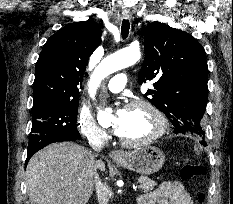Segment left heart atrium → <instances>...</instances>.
<instances>
[{
  "mask_svg": "<svg viewBox=\"0 0 233 204\" xmlns=\"http://www.w3.org/2000/svg\"><path fill=\"white\" fill-rule=\"evenodd\" d=\"M126 110L118 109L115 113L114 123H113V131L116 134H120L124 120H125Z\"/></svg>",
  "mask_w": 233,
  "mask_h": 204,
  "instance_id": "39dd6f15",
  "label": "left heart atrium"
}]
</instances>
